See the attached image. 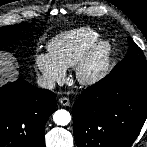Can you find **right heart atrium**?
I'll return each instance as SVG.
<instances>
[{
    "label": "right heart atrium",
    "mask_w": 147,
    "mask_h": 147,
    "mask_svg": "<svg viewBox=\"0 0 147 147\" xmlns=\"http://www.w3.org/2000/svg\"><path fill=\"white\" fill-rule=\"evenodd\" d=\"M35 67L49 84L59 83L65 79L66 69L53 59L49 53L37 54Z\"/></svg>",
    "instance_id": "1"
}]
</instances>
